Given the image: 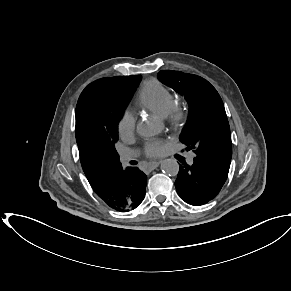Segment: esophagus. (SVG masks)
<instances>
[{
    "mask_svg": "<svg viewBox=\"0 0 291 291\" xmlns=\"http://www.w3.org/2000/svg\"><path fill=\"white\" fill-rule=\"evenodd\" d=\"M160 163H161V161H153V162H150V163L148 164V168H149L150 170H153V169H155L156 167H158Z\"/></svg>",
    "mask_w": 291,
    "mask_h": 291,
    "instance_id": "esophagus-1",
    "label": "esophagus"
}]
</instances>
